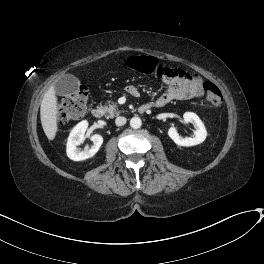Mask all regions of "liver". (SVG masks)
<instances>
[{"mask_svg": "<svg viewBox=\"0 0 264 264\" xmlns=\"http://www.w3.org/2000/svg\"><path fill=\"white\" fill-rule=\"evenodd\" d=\"M55 86L49 87L45 93L40 108V118L43 130L49 140H53L58 131L57 115H58V104Z\"/></svg>", "mask_w": 264, "mask_h": 264, "instance_id": "obj_1", "label": "liver"}]
</instances>
